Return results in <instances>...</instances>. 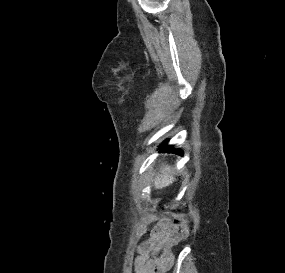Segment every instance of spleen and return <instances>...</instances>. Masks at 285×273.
Here are the masks:
<instances>
[{"mask_svg": "<svg viewBox=\"0 0 285 273\" xmlns=\"http://www.w3.org/2000/svg\"><path fill=\"white\" fill-rule=\"evenodd\" d=\"M174 181L175 178L171 173L170 167L163 166L161 168V174H158V176H156V178L154 179V186L156 189H159L172 184Z\"/></svg>", "mask_w": 285, "mask_h": 273, "instance_id": "obj_1", "label": "spleen"}]
</instances>
